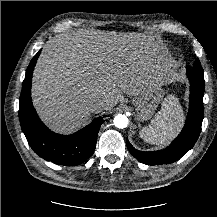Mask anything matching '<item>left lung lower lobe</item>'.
Here are the masks:
<instances>
[{
  "instance_id": "0a47b994",
  "label": "left lung lower lobe",
  "mask_w": 217,
  "mask_h": 217,
  "mask_svg": "<svg viewBox=\"0 0 217 217\" xmlns=\"http://www.w3.org/2000/svg\"><path fill=\"white\" fill-rule=\"evenodd\" d=\"M187 76L190 81L189 112L185 126L178 137L167 148L152 152L139 151L126 140L128 150L141 163L147 165L173 163L185 155L197 141L204 117V80L198 79L189 66H187Z\"/></svg>"
}]
</instances>
